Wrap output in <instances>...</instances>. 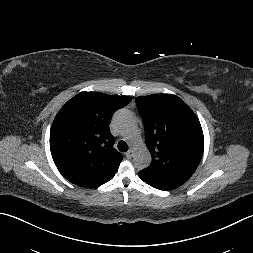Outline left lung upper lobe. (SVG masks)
Instances as JSON below:
<instances>
[{
  "label": "left lung upper lobe",
  "mask_w": 253,
  "mask_h": 253,
  "mask_svg": "<svg viewBox=\"0 0 253 253\" xmlns=\"http://www.w3.org/2000/svg\"><path fill=\"white\" fill-rule=\"evenodd\" d=\"M152 162L139 173L153 180L184 184L197 169L204 136L197 116L179 97L170 94L139 96Z\"/></svg>",
  "instance_id": "left-lung-upper-lobe-1"
}]
</instances>
